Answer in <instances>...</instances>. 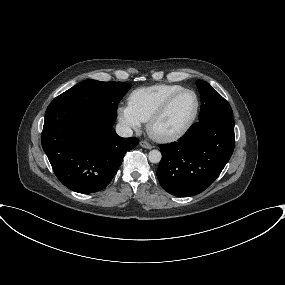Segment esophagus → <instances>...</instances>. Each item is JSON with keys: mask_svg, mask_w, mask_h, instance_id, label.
<instances>
[{"mask_svg": "<svg viewBox=\"0 0 285 285\" xmlns=\"http://www.w3.org/2000/svg\"><path fill=\"white\" fill-rule=\"evenodd\" d=\"M140 146L146 149H151L152 145L150 143H148L147 141H140Z\"/></svg>", "mask_w": 285, "mask_h": 285, "instance_id": "34e87169", "label": "esophagus"}]
</instances>
